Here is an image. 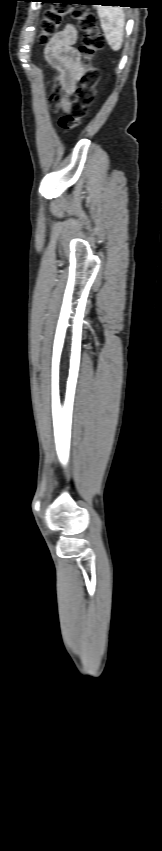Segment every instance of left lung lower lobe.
<instances>
[{"mask_svg":"<svg viewBox=\"0 0 162 851\" xmlns=\"http://www.w3.org/2000/svg\"><path fill=\"white\" fill-rule=\"evenodd\" d=\"M45 2L55 3V0H45ZM83 2H89L90 4L103 3V4H107V5H119L121 7L122 3H128L129 1L128 0H72L70 2H64V3H72V4L73 3H81V4H84Z\"/></svg>","mask_w":162,"mask_h":851,"instance_id":"1","label":"left lung lower lobe"}]
</instances>
